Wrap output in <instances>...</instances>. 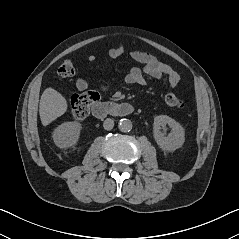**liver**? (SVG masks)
<instances>
[{
    "instance_id": "liver-1",
    "label": "liver",
    "mask_w": 239,
    "mask_h": 239,
    "mask_svg": "<svg viewBox=\"0 0 239 239\" xmlns=\"http://www.w3.org/2000/svg\"><path fill=\"white\" fill-rule=\"evenodd\" d=\"M67 111L65 97L55 89L46 88L41 96L39 114L43 126L62 116Z\"/></svg>"
}]
</instances>
